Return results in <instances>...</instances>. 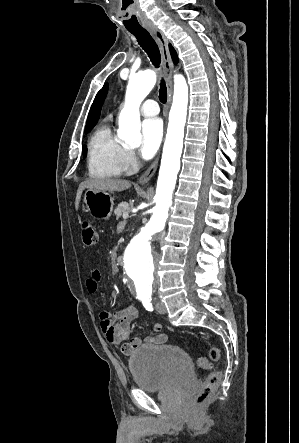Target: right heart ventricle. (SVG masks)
<instances>
[{
  "label": "right heart ventricle",
  "instance_id": "right-heart-ventricle-1",
  "mask_svg": "<svg viewBox=\"0 0 299 443\" xmlns=\"http://www.w3.org/2000/svg\"><path fill=\"white\" fill-rule=\"evenodd\" d=\"M124 147L108 125L99 127L91 136L88 144L87 167L91 177L113 178L124 171Z\"/></svg>",
  "mask_w": 299,
  "mask_h": 443
}]
</instances>
